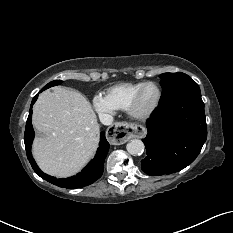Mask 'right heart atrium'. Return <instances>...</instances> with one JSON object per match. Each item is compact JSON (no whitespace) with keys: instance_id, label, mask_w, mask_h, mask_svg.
I'll use <instances>...</instances> for the list:
<instances>
[{"instance_id":"d8ad5b80","label":"right heart atrium","mask_w":233,"mask_h":233,"mask_svg":"<svg viewBox=\"0 0 233 233\" xmlns=\"http://www.w3.org/2000/svg\"><path fill=\"white\" fill-rule=\"evenodd\" d=\"M93 107L100 117H107L115 113L116 108L109 102L106 96L96 94L93 98Z\"/></svg>"}]
</instances>
